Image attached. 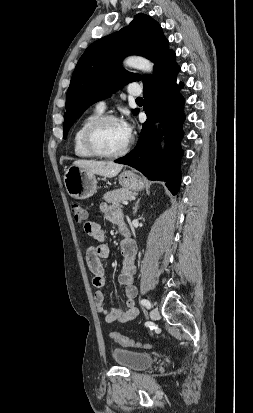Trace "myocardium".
Here are the masks:
<instances>
[{
    "mask_svg": "<svg viewBox=\"0 0 253 413\" xmlns=\"http://www.w3.org/2000/svg\"><path fill=\"white\" fill-rule=\"evenodd\" d=\"M110 121L118 122V119L114 115H101L94 119L84 130L83 133V144L87 151H89L93 156L101 158H118L125 155L131 147L132 140L129 138L125 146L117 152H104L101 151L95 142V134L97 130L103 126L105 123Z\"/></svg>",
    "mask_w": 253,
    "mask_h": 413,
    "instance_id": "obj_1",
    "label": "myocardium"
}]
</instances>
